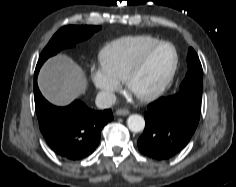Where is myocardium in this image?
<instances>
[{
    "instance_id": "1",
    "label": "myocardium",
    "mask_w": 236,
    "mask_h": 187,
    "mask_svg": "<svg viewBox=\"0 0 236 187\" xmlns=\"http://www.w3.org/2000/svg\"><path fill=\"white\" fill-rule=\"evenodd\" d=\"M162 46H169L173 50V54H174L173 64H172L166 78L164 79V81L155 90L148 92V93H144V94H133L134 97L141 102H150V101L156 100L161 95H163L164 92L171 85V83L175 77V74L177 72V68H178V64H179V55H178V52H177V49L175 48V46L172 43L167 42V41H159V42L153 44L152 46L147 48L141 54V56L138 58V60L136 61L134 66L131 68V70L129 71V73L127 74V76L124 80L126 89L130 93H132L133 81L141 73V71L143 70V68H144L147 60L151 56V54Z\"/></svg>"
}]
</instances>
